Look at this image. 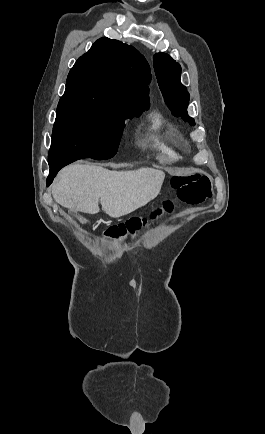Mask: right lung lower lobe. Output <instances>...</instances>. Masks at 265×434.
<instances>
[{"instance_id": "obj_1", "label": "right lung lower lobe", "mask_w": 265, "mask_h": 434, "mask_svg": "<svg viewBox=\"0 0 265 434\" xmlns=\"http://www.w3.org/2000/svg\"><path fill=\"white\" fill-rule=\"evenodd\" d=\"M72 162H74V161H66V162H60V163H57V164H54V165H49L50 166V172H49V176H48V178L46 180L47 186H49L52 183L54 177L56 176L57 172L61 168H63L64 166H66V165H68V164H70Z\"/></svg>"}]
</instances>
